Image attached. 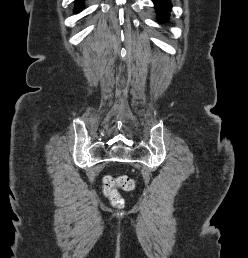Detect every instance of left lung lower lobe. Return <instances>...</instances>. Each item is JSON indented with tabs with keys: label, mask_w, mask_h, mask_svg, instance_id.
Returning <instances> with one entry per match:
<instances>
[{
	"label": "left lung lower lobe",
	"mask_w": 248,
	"mask_h": 258,
	"mask_svg": "<svg viewBox=\"0 0 248 258\" xmlns=\"http://www.w3.org/2000/svg\"><path fill=\"white\" fill-rule=\"evenodd\" d=\"M155 4V9L158 13V19L162 22L167 19L168 12L171 8L170 0H153Z\"/></svg>",
	"instance_id": "obj_1"
}]
</instances>
